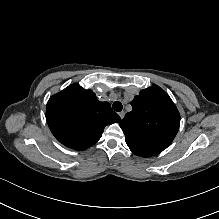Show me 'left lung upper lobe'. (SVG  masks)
<instances>
[{
  "label": "left lung upper lobe",
  "instance_id": "left-lung-upper-lobe-1",
  "mask_svg": "<svg viewBox=\"0 0 219 219\" xmlns=\"http://www.w3.org/2000/svg\"><path fill=\"white\" fill-rule=\"evenodd\" d=\"M131 105L132 111L120 123L128 147L138 156L159 154L172 143L179 129L180 114L175 104L154 85L135 96Z\"/></svg>",
  "mask_w": 219,
  "mask_h": 219
}]
</instances>
